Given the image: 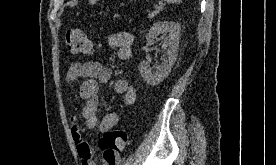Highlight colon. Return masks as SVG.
Here are the masks:
<instances>
[{
	"label": "colon",
	"instance_id": "5ec220e1",
	"mask_svg": "<svg viewBox=\"0 0 276 165\" xmlns=\"http://www.w3.org/2000/svg\"><path fill=\"white\" fill-rule=\"evenodd\" d=\"M65 43L67 49L74 54H87L92 51V43L85 32L80 28H69L66 31ZM129 140L125 129L105 132L99 141L100 148L108 157L123 150Z\"/></svg>",
	"mask_w": 276,
	"mask_h": 165
}]
</instances>
